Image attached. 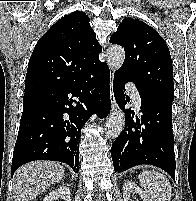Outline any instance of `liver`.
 <instances>
[{"instance_id":"1","label":"liver","mask_w":196,"mask_h":201,"mask_svg":"<svg viewBox=\"0 0 196 201\" xmlns=\"http://www.w3.org/2000/svg\"><path fill=\"white\" fill-rule=\"evenodd\" d=\"M57 162L33 161L18 168L13 177L14 201H32L64 176Z\"/></svg>"}]
</instances>
